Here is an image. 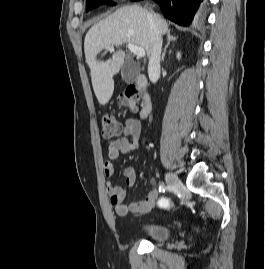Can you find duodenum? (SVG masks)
I'll return each mask as SVG.
<instances>
[{
    "label": "duodenum",
    "mask_w": 265,
    "mask_h": 269,
    "mask_svg": "<svg viewBox=\"0 0 265 269\" xmlns=\"http://www.w3.org/2000/svg\"><path fill=\"white\" fill-rule=\"evenodd\" d=\"M136 85L144 91V104H143L141 111H140V116L142 118H144L149 114L150 109H151L150 99H149L147 93L145 92L146 87H147L146 77L144 75H140L137 79Z\"/></svg>",
    "instance_id": "duodenum-1"
}]
</instances>
